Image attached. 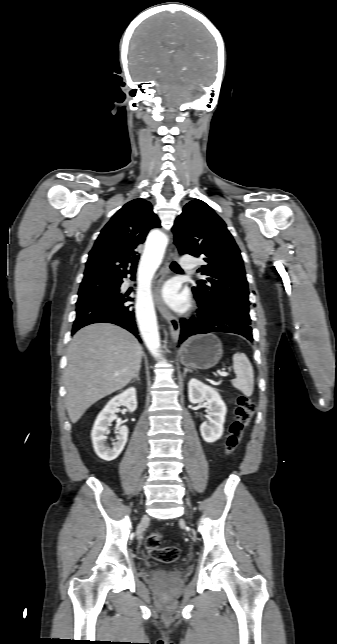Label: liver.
<instances>
[{"label": "liver", "mask_w": 337, "mask_h": 644, "mask_svg": "<svg viewBox=\"0 0 337 644\" xmlns=\"http://www.w3.org/2000/svg\"><path fill=\"white\" fill-rule=\"evenodd\" d=\"M143 350L119 326L99 323L79 330L71 340L64 373L66 408L76 423L101 398L125 387L140 370Z\"/></svg>", "instance_id": "liver-1"}]
</instances>
